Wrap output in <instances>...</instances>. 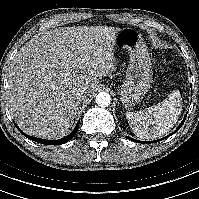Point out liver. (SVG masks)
<instances>
[{
  "label": "liver",
  "mask_w": 199,
  "mask_h": 199,
  "mask_svg": "<svg viewBox=\"0 0 199 199\" xmlns=\"http://www.w3.org/2000/svg\"><path fill=\"white\" fill-rule=\"evenodd\" d=\"M117 27L57 28L27 43L13 60L8 78L9 110L27 134L47 139L65 136L81 102L115 70ZM82 89L84 99L73 98Z\"/></svg>",
  "instance_id": "6515ba94"
}]
</instances>
